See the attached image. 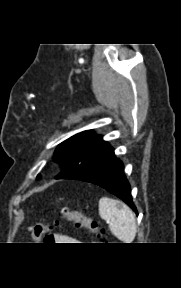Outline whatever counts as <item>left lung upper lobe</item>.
Segmentation results:
<instances>
[{"label": "left lung upper lobe", "mask_w": 181, "mask_h": 288, "mask_svg": "<svg viewBox=\"0 0 181 288\" xmlns=\"http://www.w3.org/2000/svg\"><path fill=\"white\" fill-rule=\"evenodd\" d=\"M114 149L92 130L83 131L59 144L54 160L62 172L56 179H81L108 160ZM39 177V176H38Z\"/></svg>", "instance_id": "5c2ea615"}]
</instances>
